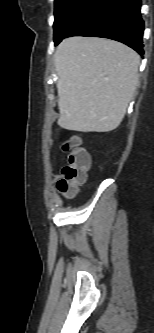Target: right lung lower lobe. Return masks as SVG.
<instances>
[{
	"label": "right lung lower lobe",
	"mask_w": 154,
	"mask_h": 333,
	"mask_svg": "<svg viewBox=\"0 0 154 333\" xmlns=\"http://www.w3.org/2000/svg\"><path fill=\"white\" fill-rule=\"evenodd\" d=\"M140 7L141 0H100L66 37L110 38L130 46L142 55L144 22Z\"/></svg>",
	"instance_id": "98d812e1"
}]
</instances>
